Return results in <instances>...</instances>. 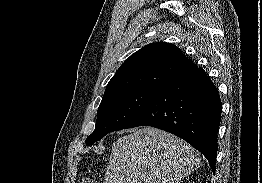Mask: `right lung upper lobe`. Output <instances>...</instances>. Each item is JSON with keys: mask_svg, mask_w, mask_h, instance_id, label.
<instances>
[{"mask_svg": "<svg viewBox=\"0 0 262 183\" xmlns=\"http://www.w3.org/2000/svg\"><path fill=\"white\" fill-rule=\"evenodd\" d=\"M175 45L152 43L132 54L109 81L105 94L148 89L159 90L169 82L197 69Z\"/></svg>", "mask_w": 262, "mask_h": 183, "instance_id": "right-lung-upper-lobe-1", "label": "right lung upper lobe"}]
</instances>
